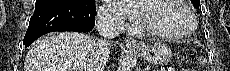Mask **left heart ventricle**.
<instances>
[{"label": "left heart ventricle", "instance_id": "obj_1", "mask_svg": "<svg viewBox=\"0 0 230 71\" xmlns=\"http://www.w3.org/2000/svg\"><path fill=\"white\" fill-rule=\"evenodd\" d=\"M139 4L144 10V20L158 31L180 34L191 27L189 14L174 0H152Z\"/></svg>", "mask_w": 230, "mask_h": 71}]
</instances>
